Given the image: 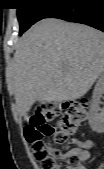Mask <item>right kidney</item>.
Instances as JSON below:
<instances>
[{"label":"right kidney","mask_w":104,"mask_h":169,"mask_svg":"<svg viewBox=\"0 0 104 169\" xmlns=\"http://www.w3.org/2000/svg\"><path fill=\"white\" fill-rule=\"evenodd\" d=\"M103 94H104V76H101L94 87L92 103L89 113V124L92 130L98 133L104 131V112L100 108Z\"/></svg>","instance_id":"1"}]
</instances>
